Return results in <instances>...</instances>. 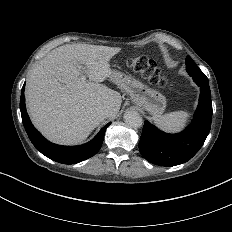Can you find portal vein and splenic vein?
Wrapping results in <instances>:
<instances>
[{"label":"portal vein and splenic vein","mask_w":232,"mask_h":232,"mask_svg":"<svg viewBox=\"0 0 232 232\" xmlns=\"http://www.w3.org/2000/svg\"><path fill=\"white\" fill-rule=\"evenodd\" d=\"M82 69H85V67H82ZM81 81H86V76L85 75L81 76Z\"/></svg>","instance_id":"18ae733b"}]
</instances>
